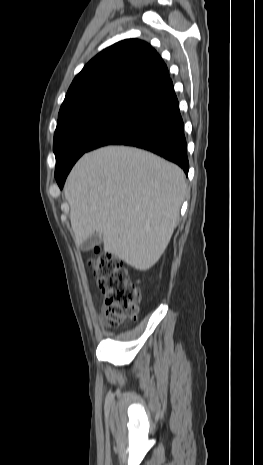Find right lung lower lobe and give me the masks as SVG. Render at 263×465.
<instances>
[{"label":"right lung lower lobe","instance_id":"obj_1","mask_svg":"<svg viewBox=\"0 0 263 465\" xmlns=\"http://www.w3.org/2000/svg\"><path fill=\"white\" fill-rule=\"evenodd\" d=\"M106 145H128L151 151L176 163L188 174L184 124L170 78L136 98L90 150ZM66 176L57 180L60 188Z\"/></svg>","mask_w":263,"mask_h":465}]
</instances>
